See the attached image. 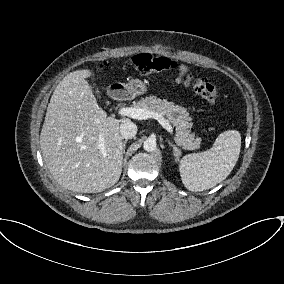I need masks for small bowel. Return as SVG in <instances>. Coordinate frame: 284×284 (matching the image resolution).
Wrapping results in <instances>:
<instances>
[{
	"label": "small bowel",
	"mask_w": 284,
	"mask_h": 284,
	"mask_svg": "<svg viewBox=\"0 0 284 284\" xmlns=\"http://www.w3.org/2000/svg\"><path fill=\"white\" fill-rule=\"evenodd\" d=\"M180 71L181 72H187L188 71V68L186 66H181L180 67Z\"/></svg>",
	"instance_id": "c3829d8e"
}]
</instances>
